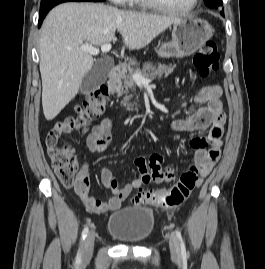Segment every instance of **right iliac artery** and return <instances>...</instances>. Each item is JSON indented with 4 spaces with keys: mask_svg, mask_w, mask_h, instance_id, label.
<instances>
[{
    "mask_svg": "<svg viewBox=\"0 0 265 269\" xmlns=\"http://www.w3.org/2000/svg\"><path fill=\"white\" fill-rule=\"evenodd\" d=\"M89 232V228L88 227H85L82 231V235H81V244L82 242L85 240L87 234ZM81 261V252H80V249L78 251V254L76 256V262L79 263Z\"/></svg>",
    "mask_w": 265,
    "mask_h": 269,
    "instance_id": "82829eb1",
    "label": "right iliac artery"
}]
</instances>
